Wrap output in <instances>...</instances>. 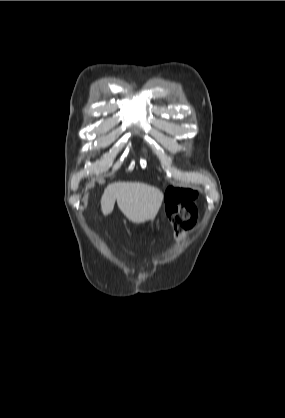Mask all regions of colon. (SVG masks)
Wrapping results in <instances>:
<instances>
[{"label": "colon", "instance_id": "obj_1", "mask_svg": "<svg viewBox=\"0 0 285 418\" xmlns=\"http://www.w3.org/2000/svg\"><path fill=\"white\" fill-rule=\"evenodd\" d=\"M166 202L167 216L175 228V238L177 241H182L196 221L193 191L170 187L167 190Z\"/></svg>", "mask_w": 285, "mask_h": 418}]
</instances>
